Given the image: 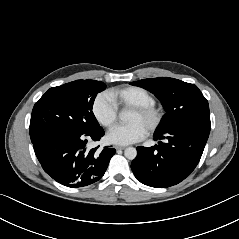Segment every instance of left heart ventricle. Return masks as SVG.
Wrapping results in <instances>:
<instances>
[{
	"label": "left heart ventricle",
	"mask_w": 239,
	"mask_h": 239,
	"mask_svg": "<svg viewBox=\"0 0 239 239\" xmlns=\"http://www.w3.org/2000/svg\"><path fill=\"white\" fill-rule=\"evenodd\" d=\"M128 122L139 123L147 129L150 125V118L132 110L129 115Z\"/></svg>",
	"instance_id": "b2bd125f"
}]
</instances>
